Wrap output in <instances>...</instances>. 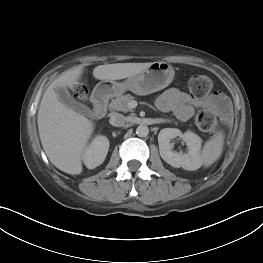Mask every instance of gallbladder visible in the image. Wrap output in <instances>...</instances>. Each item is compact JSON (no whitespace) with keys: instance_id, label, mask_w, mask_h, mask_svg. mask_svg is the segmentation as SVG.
Segmentation results:
<instances>
[{"instance_id":"bac80fb5","label":"gallbladder","mask_w":263,"mask_h":263,"mask_svg":"<svg viewBox=\"0 0 263 263\" xmlns=\"http://www.w3.org/2000/svg\"><path fill=\"white\" fill-rule=\"evenodd\" d=\"M58 99L65 105L73 108L77 112L87 115L90 112V109L84 104L75 101L68 90L65 87H59L55 89Z\"/></svg>"}]
</instances>
